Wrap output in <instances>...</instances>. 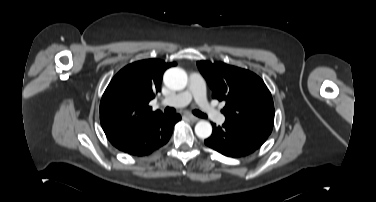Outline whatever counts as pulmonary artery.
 <instances>
[{"label":"pulmonary artery","mask_w":376,"mask_h":202,"mask_svg":"<svg viewBox=\"0 0 376 202\" xmlns=\"http://www.w3.org/2000/svg\"><path fill=\"white\" fill-rule=\"evenodd\" d=\"M194 99L199 109L211 120L222 124L225 117L216 108H214L206 97L205 81L199 73H192L189 77L188 89L178 93L177 95L164 99L162 101L165 105L175 107H182Z\"/></svg>","instance_id":"obj_1"}]
</instances>
